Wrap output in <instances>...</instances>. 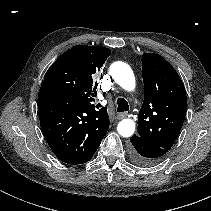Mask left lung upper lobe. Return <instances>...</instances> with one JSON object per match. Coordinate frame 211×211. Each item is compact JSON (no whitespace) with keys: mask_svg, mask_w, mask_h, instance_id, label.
<instances>
[{"mask_svg":"<svg viewBox=\"0 0 211 211\" xmlns=\"http://www.w3.org/2000/svg\"><path fill=\"white\" fill-rule=\"evenodd\" d=\"M144 101L138 115V136L149 143L171 149L182 128L187 97L174 68L160 55L142 56Z\"/></svg>","mask_w":211,"mask_h":211,"instance_id":"1","label":"left lung upper lobe"}]
</instances>
